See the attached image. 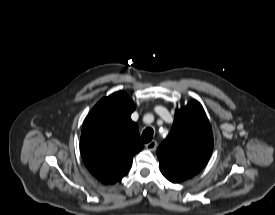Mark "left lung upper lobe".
Segmentation results:
<instances>
[{
  "label": "left lung upper lobe",
  "instance_id": "5c2ea615",
  "mask_svg": "<svg viewBox=\"0 0 275 215\" xmlns=\"http://www.w3.org/2000/svg\"><path fill=\"white\" fill-rule=\"evenodd\" d=\"M213 150V135L203 107L196 100L176 110L172 129L157 156L162 174L179 183L198 174Z\"/></svg>",
  "mask_w": 275,
  "mask_h": 215
}]
</instances>
